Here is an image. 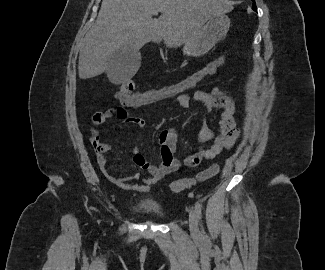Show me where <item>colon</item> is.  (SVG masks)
Here are the masks:
<instances>
[{"mask_svg":"<svg viewBox=\"0 0 325 270\" xmlns=\"http://www.w3.org/2000/svg\"><path fill=\"white\" fill-rule=\"evenodd\" d=\"M224 62L225 57L220 56L176 83L148 89L142 92L134 91V83L132 81H123L118 85L116 98L121 104L135 108L173 100L195 88L206 77L213 75ZM218 172L219 167L217 165H212L197 173L192 178H182L174 181L171 184V190L176 193L181 192L184 189L192 187L196 183L203 182L215 176Z\"/></svg>","mask_w":325,"mask_h":270,"instance_id":"1","label":"colon"}]
</instances>
